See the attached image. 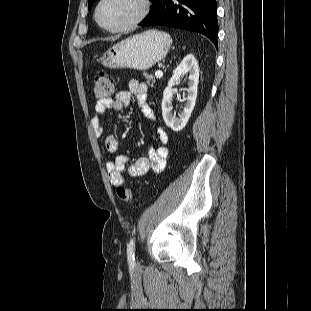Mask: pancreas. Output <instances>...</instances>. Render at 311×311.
<instances>
[{"mask_svg":"<svg viewBox=\"0 0 311 311\" xmlns=\"http://www.w3.org/2000/svg\"><path fill=\"white\" fill-rule=\"evenodd\" d=\"M143 76H144L145 79L147 80V84L150 85L151 87H153V84L156 82V80H155V78L153 77V75L144 72V73H143Z\"/></svg>","mask_w":311,"mask_h":311,"instance_id":"pancreas-1","label":"pancreas"}]
</instances>
